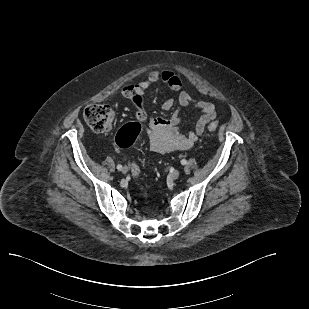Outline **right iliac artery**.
Masks as SVG:
<instances>
[{
  "instance_id": "1",
  "label": "right iliac artery",
  "mask_w": 309,
  "mask_h": 309,
  "mask_svg": "<svg viewBox=\"0 0 309 309\" xmlns=\"http://www.w3.org/2000/svg\"><path fill=\"white\" fill-rule=\"evenodd\" d=\"M117 169H118V170H121V169H122V165L118 164V165H117Z\"/></svg>"
}]
</instances>
